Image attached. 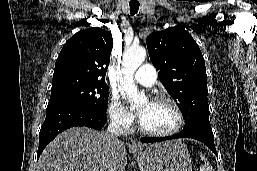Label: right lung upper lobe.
<instances>
[{"mask_svg":"<svg viewBox=\"0 0 257 171\" xmlns=\"http://www.w3.org/2000/svg\"><path fill=\"white\" fill-rule=\"evenodd\" d=\"M112 47L111 33L99 27L76 33L56 60L51 90L77 83H104Z\"/></svg>","mask_w":257,"mask_h":171,"instance_id":"cb5924a9","label":"right lung upper lobe"}]
</instances>
